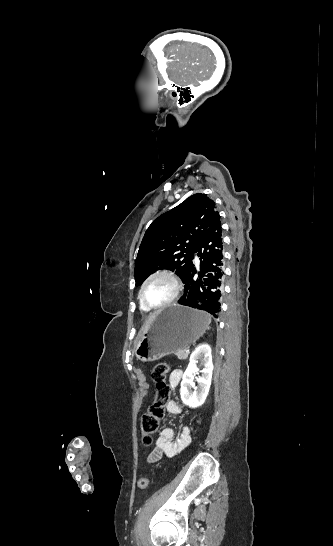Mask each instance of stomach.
<instances>
[{
	"label": "stomach",
	"mask_w": 333,
	"mask_h": 546,
	"mask_svg": "<svg viewBox=\"0 0 333 546\" xmlns=\"http://www.w3.org/2000/svg\"><path fill=\"white\" fill-rule=\"evenodd\" d=\"M210 317L203 311L173 305L159 311L134 346L136 358L150 362L186 349L205 332Z\"/></svg>",
	"instance_id": "1"
}]
</instances>
